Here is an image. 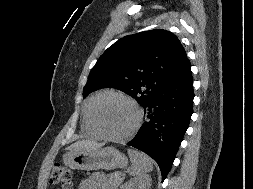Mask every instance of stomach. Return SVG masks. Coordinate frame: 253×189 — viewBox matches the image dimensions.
<instances>
[{
  "label": "stomach",
  "mask_w": 253,
  "mask_h": 189,
  "mask_svg": "<svg viewBox=\"0 0 253 189\" xmlns=\"http://www.w3.org/2000/svg\"><path fill=\"white\" fill-rule=\"evenodd\" d=\"M66 166L75 170H97L124 168L128 164L127 157L114 147L95 150L68 152L63 156Z\"/></svg>",
  "instance_id": "1"
}]
</instances>
